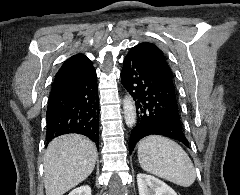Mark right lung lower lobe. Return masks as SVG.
Listing matches in <instances>:
<instances>
[{"instance_id": "98d812e1", "label": "right lung lower lobe", "mask_w": 240, "mask_h": 195, "mask_svg": "<svg viewBox=\"0 0 240 195\" xmlns=\"http://www.w3.org/2000/svg\"><path fill=\"white\" fill-rule=\"evenodd\" d=\"M95 69L74 80L53 82L47 108L48 143L55 137L77 133L99 145V101Z\"/></svg>"}]
</instances>
